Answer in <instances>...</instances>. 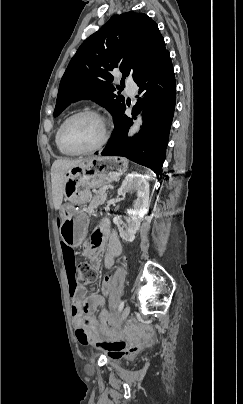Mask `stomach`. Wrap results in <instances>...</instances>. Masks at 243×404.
I'll list each match as a JSON object with an SVG mask.
<instances>
[{
	"label": "stomach",
	"mask_w": 243,
	"mask_h": 404,
	"mask_svg": "<svg viewBox=\"0 0 243 404\" xmlns=\"http://www.w3.org/2000/svg\"><path fill=\"white\" fill-rule=\"evenodd\" d=\"M128 168L124 158L96 156L69 168L65 173L64 197L61 208V236L66 245L80 246L87 234L88 215L75 208L90 201L92 188H98L120 178Z\"/></svg>",
	"instance_id": "stomach-1"
}]
</instances>
